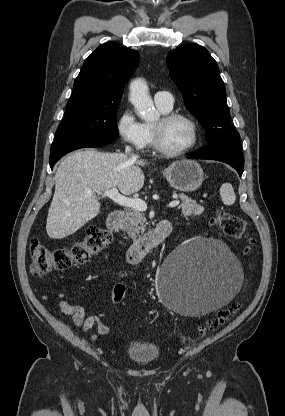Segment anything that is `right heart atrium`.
Here are the masks:
<instances>
[{
	"instance_id": "d8ad5b80",
	"label": "right heart atrium",
	"mask_w": 285,
	"mask_h": 416,
	"mask_svg": "<svg viewBox=\"0 0 285 416\" xmlns=\"http://www.w3.org/2000/svg\"><path fill=\"white\" fill-rule=\"evenodd\" d=\"M117 128L122 141L127 145L138 151L148 147L149 138L146 128L131 107H125L120 111Z\"/></svg>"
}]
</instances>
